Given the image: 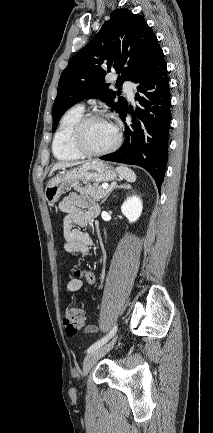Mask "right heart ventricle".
<instances>
[{
	"label": "right heart ventricle",
	"mask_w": 213,
	"mask_h": 433,
	"mask_svg": "<svg viewBox=\"0 0 213 433\" xmlns=\"http://www.w3.org/2000/svg\"><path fill=\"white\" fill-rule=\"evenodd\" d=\"M83 115V108L76 106L68 110L62 117L53 140L54 156L61 161H71L82 158L72 145V131Z\"/></svg>",
	"instance_id": "e07e8e85"
}]
</instances>
